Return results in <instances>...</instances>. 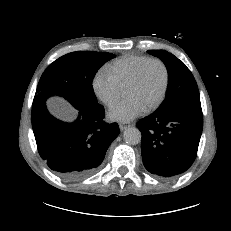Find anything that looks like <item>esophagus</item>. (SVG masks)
<instances>
[{
    "mask_svg": "<svg viewBox=\"0 0 231 231\" xmlns=\"http://www.w3.org/2000/svg\"><path fill=\"white\" fill-rule=\"evenodd\" d=\"M130 126L131 125L129 123H120L119 124V128H120L121 131H124L125 129H127Z\"/></svg>",
    "mask_w": 231,
    "mask_h": 231,
    "instance_id": "esophagus-1",
    "label": "esophagus"
}]
</instances>
